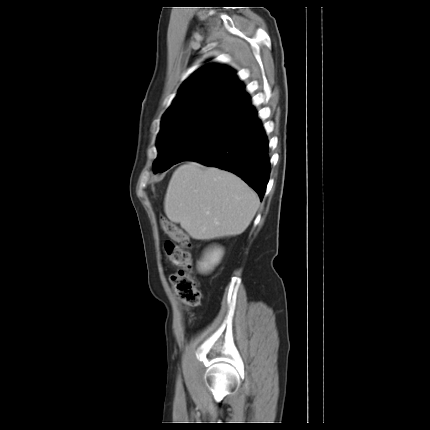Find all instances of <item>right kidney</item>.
I'll list each match as a JSON object with an SVG mask.
<instances>
[{
    "label": "right kidney",
    "instance_id": "1",
    "mask_svg": "<svg viewBox=\"0 0 430 430\" xmlns=\"http://www.w3.org/2000/svg\"><path fill=\"white\" fill-rule=\"evenodd\" d=\"M223 250L221 248L214 247L208 250L202 261L198 263V270L201 273H207L211 271L222 259Z\"/></svg>",
    "mask_w": 430,
    "mask_h": 430
}]
</instances>
